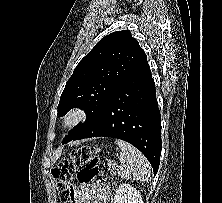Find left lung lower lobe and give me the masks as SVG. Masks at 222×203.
<instances>
[{"instance_id": "1", "label": "left lung lower lobe", "mask_w": 222, "mask_h": 203, "mask_svg": "<svg viewBox=\"0 0 222 203\" xmlns=\"http://www.w3.org/2000/svg\"><path fill=\"white\" fill-rule=\"evenodd\" d=\"M160 125L155 83L145 56L73 140L112 137L129 142L149 160L155 175L162 147Z\"/></svg>"}]
</instances>
